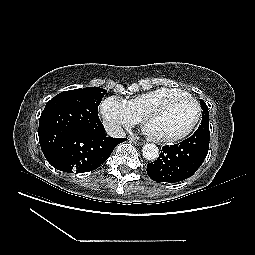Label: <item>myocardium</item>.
<instances>
[{
  "label": "myocardium",
  "mask_w": 255,
  "mask_h": 255,
  "mask_svg": "<svg viewBox=\"0 0 255 255\" xmlns=\"http://www.w3.org/2000/svg\"><path fill=\"white\" fill-rule=\"evenodd\" d=\"M175 97L186 98L187 100H189L195 106V108H196L195 118H194L193 122L191 123V125L186 130H184L183 132H181L179 134L170 135V136H155V135H153L152 138L156 141H159V142H175V141H178L180 139H183L194 131V129L197 127V125H198V123L201 119L202 108H201L200 103L188 92L180 90V91H174L172 93H169V94L163 96L162 98H160L159 100H157L156 102H154L143 113V115L141 117V121L145 124V121H146V119L148 118V116L150 114H152L154 111H156L161 106H163L165 103H167L168 101H170L171 99H173Z\"/></svg>",
  "instance_id": "1"
}]
</instances>
